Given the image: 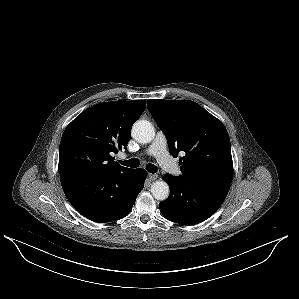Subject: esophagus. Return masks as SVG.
Masks as SVG:
<instances>
[{"label":"esophagus","instance_id":"esophagus-1","mask_svg":"<svg viewBox=\"0 0 299 299\" xmlns=\"http://www.w3.org/2000/svg\"><path fill=\"white\" fill-rule=\"evenodd\" d=\"M158 175L157 174H148V180L150 182H153L157 179Z\"/></svg>","mask_w":299,"mask_h":299}]
</instances>
